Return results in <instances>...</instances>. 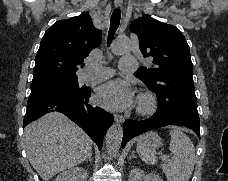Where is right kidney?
I'll return each mask as SVG.
<instances>
[{
	"label": "right kidney",
	"instance_id": "ca27d5eb",
	"mask_svg": "<svg viewBox=\"0 0 228 181\" xmlns=\"http://www.w3.org/2000/svg\"><path fill=\"white\" fill-rule=\"evenodd\" d=\"M88 171L81 169V167H73L64 173H60L55 181H87Z\"/></svg>",
	"mask_w": 228,
	"mask_h": 181
}]
</instances>
